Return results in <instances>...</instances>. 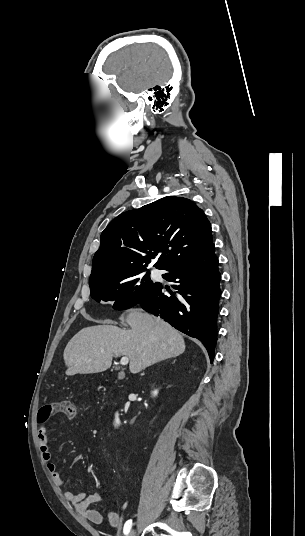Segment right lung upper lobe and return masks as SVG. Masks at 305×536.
<instances>
[{
  "mask_svg": "<svg viewBox=\"0 0 305 536\" xmlns=\"http://www.w3.org/2000/svg\"><path fill=\"white\" fill-rule=\"evenodd\" d=\"M213 245L211 225L191 200L168 196L113 219L101 234L89 282L154 266L165 269Z\"/></svg>",
  "mask_w": 305,
  "mask_h": 536,
  "instance_id": "obj_1",
  "label": "right lung upper lobe"
}]
</instances>
